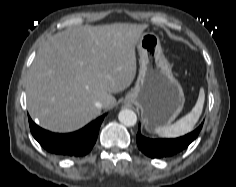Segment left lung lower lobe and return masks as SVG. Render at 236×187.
I'll use <instances>...</instances> for the list:
<instances>
[{"label": "left lung lower lobe", "instance_id": "obj_1", "mask_svg": "<svg viewBox=\"0 0 236 187\" xmlns=\"http://www.w3.org/2000/svg\"><path fill=\"white\" fill-rule=\"evenodd\" d=\"M202 124L193 132L176 139H150L141 135L138 131L136 140L139 149L150 158L171 157L181 152L197 138Z\"/></svg>", "mask_w": 236, "mask_h": 187}]
</instances>
